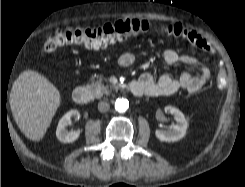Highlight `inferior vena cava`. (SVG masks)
I'll return each mask as SVG.
<instances>
[{"label":"inferior vena cava","mask_w":245,"mask_h":187,"mask_svg":"<svg viewBox=\"0 0 245 187\" xmlns=\"http://www.w3.org/2000/svg\"><path fill=\"white\" fill-rule=\"evenodd\" d=\"M109 108H110V105L106 101H101L98 103V110L102 113L107 112L109 110Z\"/></svg>","instance_id":"obj_1"}]
</instances>
